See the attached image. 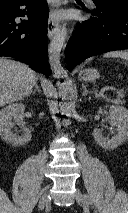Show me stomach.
<instances>
[{
  "label": "stomach",
  "mask_w": 128,
  "mask_h": 213,
  "mask_svg": "<svg viewBox=\"0 0 128 213\" xmlns=\"http://www.w3.org/2000/svg\"><path fill=\"white\" fill-rule=\"evenodd\" d=\"M79 77L83 81L93 82L100 77V73L97 69H85L80 71Z\"/></svg>",
  "instance_id": "1"
}]
</instances>
